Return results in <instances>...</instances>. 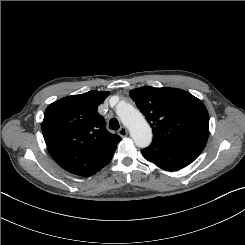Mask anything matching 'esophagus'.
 <instances>
[{"label":"esophagus","mask_w":245,"mask_h":245,"mask_svg":"<svg viewBox=\"0 0 245 245\" xmlns=\"http://www.w3.org/2000/svg\"><path fill=\"white\" fill-rule=\"evenodd\" d=\"M118 134L121 136V137H126L128 135V130L126 127L122 126L119 131H118Z\"/></svg>","instance_id":"esophagus-1"}]
</instances>
